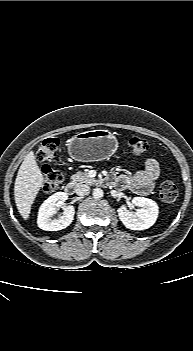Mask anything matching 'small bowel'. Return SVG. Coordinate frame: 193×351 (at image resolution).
Segmentation results:
<instances>
[{"label":"small bowel","mask_w":193,"mask_h":351,"mask_svg":"<svg viewBox=\"0 0 193 351\" xmlns=\"http://www.w3.org/2000/svg\"><path fill=\"white\" fill-rule=\"evenodd\" d=\"M160 174L159 164L154 158H147L144 168L132 175H120L114 182L121 188L129 189L139 195H146L153 189Z\"/></svg>","instance_id":"obj_1"}]
</instances>
